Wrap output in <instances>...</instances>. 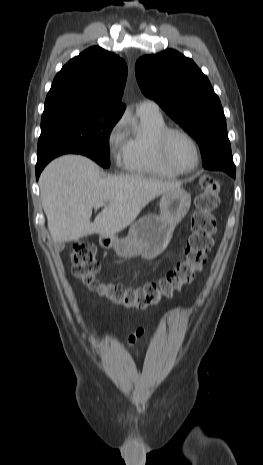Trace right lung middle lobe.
<instances>
[{
  "mask_svg": "<svg viewBox=\"0 0 263 465\" xmlns=\"http://www.w3.org/2000/svg\"><path fill=\"white\" fill-rule=\"evenodd\" d=\"M123 111L82 104L47 105L41 119L37 164L66 154H83L109 167V136Z\"/></svg>",
  "mask_w": 263,
  "mask_h": 465,
  "instance_id": "right-lung-middle-lobe-1",
  "label": "right lung middle lobe"
}]
</instances>
